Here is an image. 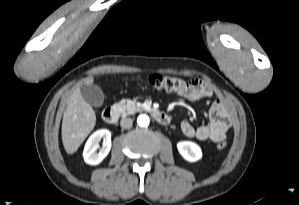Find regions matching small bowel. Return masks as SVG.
<instances>
[{
	"label": "small bowel",
	"instance_id": "obj_1",
	"mask_svg": "<svg viewBox=\"0 0 299 205\" xmlns=\"http://www.w3.org/2000/svg\"><path fill=\"white\" fill-rule=\"evenodd\" d=\"M178 95L191 102H197L211 98L214 95L213 88L203 80H192L189 85ZM230 113L225 102L217 98L209 109V122L199 127H194L190 122L181 123L182 133L190 138L205 141L219 142L225 140L226 133L230 128Z\"/></svg>",
	"mask_w": 299,
	"mask_h": 205
}]
</instances>
